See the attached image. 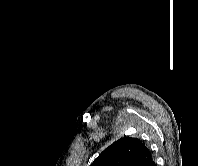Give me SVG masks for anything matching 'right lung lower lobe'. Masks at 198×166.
Instances as JSON below:
<instances>
[{"mask_svg":"<svg viewBox=\"0 0 198 166\" xmlns=\"http://www.w3.org/2000/svg\"><path fill=\"white\" fill-rule=\"evenodd\" d=\"M150 166H156V165H155V163H154V162H152V163L150 164Z\"/></svg>","mask_w":198,"mask_h":166,"instance_id":"right-lung-lower-lobe-1","label":"right lung lower lobe"}]
</instances>
